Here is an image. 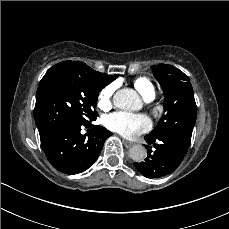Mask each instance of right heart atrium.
I'll return each mask as SVG.
<instances>
[{
  "mask_svg": "<svg viewBox=\"0 0 229 229\" xmlns=\"http://www.w3.org/2000/svg\"><path fill=\"white\" fill-rule=\"evenodd\" d=\"M114 92L115 87L113 84H109L102 88L97 96V107L101 110L109 109L112 105Z\"/></svg>",
  "mask_w": 229,
  "mask_h": 229,
  "instance_id": "right-heart-atrium-1",
  "label": "right heart atrium"
}]
</instances>
